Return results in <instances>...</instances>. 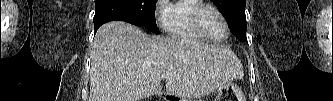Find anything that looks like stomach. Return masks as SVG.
<instances>
[{
	"label": "stomach",
	"mask_w": 333,
	"mask_h": 101,
	"mask_svg": "<svg viewBox=\"0 0 333 101\" xmlns=\"http://www.w3.org/2000/svg\"><path fill=\"white\" fill-rule=\"evenodd\" d=\"M180 101H189L187 99L180 98ZM214 101H245L242 89L235 83H228L219 87L218 95Z\"/></svg>",
	"instance_id": "0dacf381"
}]
</instances>
